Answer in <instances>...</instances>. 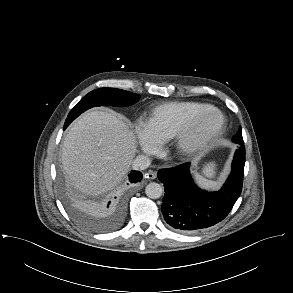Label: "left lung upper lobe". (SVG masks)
<instances>
[{
  "label": "left lung upper lobe",
  "instance_id": "1",
  "mask_svg": "<svg viewBox=\"0 0 293 293\" xmlns=\"http://www.w3.org/2000/svg\"><path fill=\"white\" fill-rule=\"evenodd\" d=\"M232 140H233V142L238 143V144H240V145H243V144H244L241 129H240L239 132L233 137Z\"/></svg>",
  "mask_w": 293,
  "mask_h": 293
}]
</instances>
